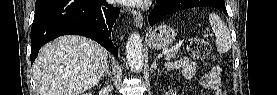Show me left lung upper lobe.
Masks as SVG:
<instances>
[{
	"mask_svg": "<svg viewBox=\"0 0 277 95\" xmlns=\"http://www.w3.org/2000/svg\"><path fill=\"white\" fill-rule=\"evenodd\" d=\"M225 5L224 0H203L199 6H206V7H222Z\"/></svg>",
	"mask_w": 277,
	"mask_h": 95,
	"instance_id": "1",
	"label": "left lung upper lobe"
}]
</instances>
